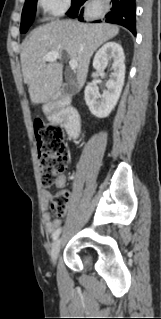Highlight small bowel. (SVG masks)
Here are the masks:
<instances>
[{"mask_svg": "<svg viewBox=\"0 0 161 319\" xmlns=\"http://www.w3.org/2000/svg\"><path fill=\"white\" fill-rule=\"evenodd\" d=\"M66 184V178L64 176L60 177L56 182L57 189H62ZM52 200V195L49 191L43 192V223L45 227V231L48 234L54 233L58 227L61 225L60 219L52 220L50 214L46 211L48 204Z\"/></svg>", "mask_w": 161, "mask_h": 319, "instance_id": "c3829d8e", "label": "small bowel"}]
</instances>
